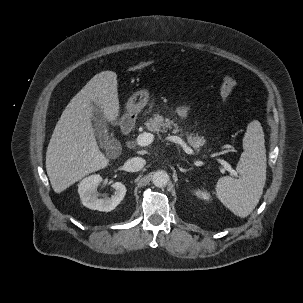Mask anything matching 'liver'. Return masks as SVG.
I'll list each match as a JSON object with an SVG mask.
<instances>
[{
  "label": "liver",
  "instance_id": "liver-1",
  "mask_svg": "<svg viewBox=\"0 0 303 303\" xmlns=\"http://www.w3.org/2000/svg\"><path fill=\"white\" fill-rule=\"evenodd\" d=\"M117 87V74L102 71L64 109L46 153V170L56 193L109 165V159L99 150L92 120L95 105L106 122L117 120L120 109Z\"/></svg>",
  "mask_w": 303,
  "mask_h": 303
}]
</instances>
